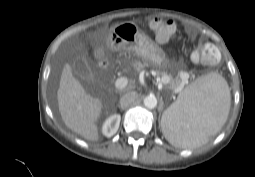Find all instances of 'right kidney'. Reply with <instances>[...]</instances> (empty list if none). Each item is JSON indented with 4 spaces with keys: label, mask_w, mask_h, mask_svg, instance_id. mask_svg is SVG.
Here are the masks:
<instances>
[{
    "label": "right kidney",
    "mask_w": 255,
    "mask_h": 177,
    "mask_svg": "<svg viewBox=\"0 0 255 177\" xmlns=\"http://www.w3.org/2000/svg\"><path fill=\"white\" fill-rule=\"evenodd\" d=\"M120 121L121 116L119 114H114L108 117L102 126L103 135H105L106 137L113 136L118 131Z\"/></svg>",
    "instance_id": "1"
}]
</instances>
